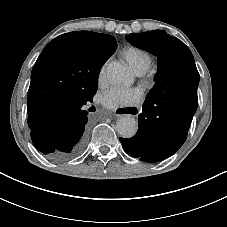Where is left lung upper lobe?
<instances>
[{
  "label": "left lung upper lobe",
  "instance_id": "left-lung-upper-lobe-1",
  "mask_svg": "<svg viewBox=\"0 0 227 227\" xmlns=\"http://www.w3.org/2000/svg\"><path fill=\"white\" fill-rule=\"evenodd\" d=\"M131 44L149 51L158 57V73L155 76V86L150 90L145 100L151 98L163 87L172 85L181 74L191 68L196 69L193 55L189 48L176 37H171L162 30L126 35Z\"/></svg>",
  "mask_w": 227,
  "mask_h": 227
}]
</instances>
